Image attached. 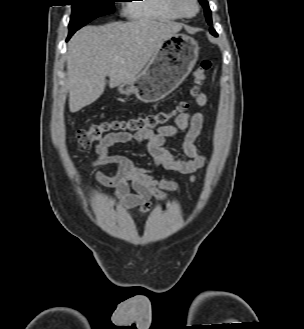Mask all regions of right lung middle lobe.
Returning <instances> with one entry per match:
<instances>
[{
    "mask_svg": "<svg viewBox=\"0 0 304 329\" xmlns=\"http://www.w3.org/2000/svg\"><path fill=\"white\" fill-rule=\"evenodd\" d=\"M72 14L69 23L68 39L81 27L93 19L114 11L116 0H70Z\"/></svg>",
    "mask_w": 304,
    "mask_h": 329,
    "instance_id": "1",
    "label": "right lung middle lobe"
}]
</instances>
